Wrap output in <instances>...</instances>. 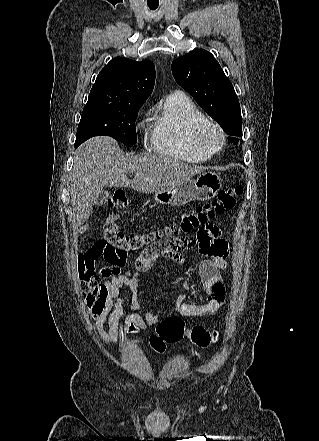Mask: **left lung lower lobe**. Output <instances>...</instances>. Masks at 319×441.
<instances>
[{
  "mask_svg": "<svg viewBox=\"0 0 319 441\" xmlns=\"http://www.w3.org/2000/svg\"><path fill=\"white\" fill-rule=\"evenodd\" d=\"M230 141H232L233 143H236V138H231Z\"/></svg>",
  "mask_w": 319,
  "mask_h": 441,
  "instance_id": "0a47b994",
  "label": "left lung lower lobe"
}]
</instances>
